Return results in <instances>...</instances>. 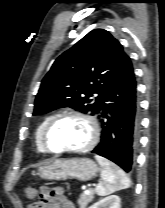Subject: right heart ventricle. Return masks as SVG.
I'll return each mask as SVG.
<instances>
[{
    "label": "right heart ventricle",
    "instance_id": "1",
    "mask_svg": "<svg viewBox=\"0 0 165 208\" xmlns=\"http://www.w3.org/2000/svg\"><path fill=\"white\" fill-rule=\"evenodd\" d=\"M58 113L57 112H53L49 115H47L41 122L40 124L38 125L37 129H36V132H35V146H36V149L37 151L41 152V153H45L47 152L43 145H42V132L45 128V126L47 125V123L55 116L57 115Z\"/></svg>",
    "mask_w": 165,
    "mask_h": 208
}]
</instances>
